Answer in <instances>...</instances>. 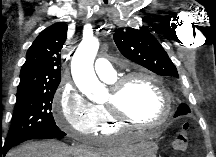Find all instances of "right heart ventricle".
<instances>
[{"label": "right heart ventricle", "instance_id": "e07e8e85", "mask_svg": "<svg viewBox=\"0 0 216 157\" xmlns=\"http://www.w3.org/2000/svg\"><path fill=\"white\" fill-rule=\"evenodd\" d=\"M114 79L108 81L112 82ZM96 110L99 116L97 131L102 135H110L123 129L122 125L117 123L110 115L105 105H97Z\"/></svg>", "mask_w": 216, "mask_h": 157}]
</instances>
